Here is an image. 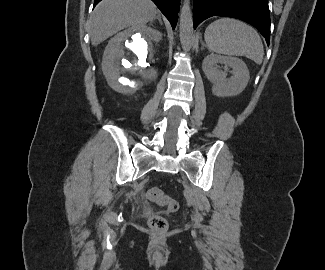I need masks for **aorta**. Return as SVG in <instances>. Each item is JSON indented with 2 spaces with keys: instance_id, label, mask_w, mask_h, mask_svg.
Listing matches in <instances>:
<instances>
[{
  "instance_id": "762f6f07",
  "label": "aorta",
  "mask_w": 325,
  "mask_h": 270,
  "mask_svg": "<svg viewBox=\"0 0 325 270\" xmlns=\"http://www.w3.org/2000/svg\"><path fill=\"white\" fill-rule=\"evenodd\" d=\"M180 42L184 51H189L193 45V19L190 0H184L180 12Z\"/></svg>"
}]
</instances>
